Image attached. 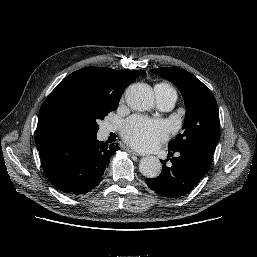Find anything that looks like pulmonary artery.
Wrapping results in <instances>:
<instances>
[{"instance_id":"pulmonary-artery-1","label":"pulmonary artery","mask_w":257,"mask_h":257,"mask_svg":"<svg viewBox=\"0 0 257 257\" xmlns=\"http://www.w3.org/2000/svg\"><path fill=\"white\" fill-rule=\"evenodd\" d=\"M157 106L162 111L171 110L176 102V95L170 92H165L159 87H155Z\"/></svg>"}]
</instances>
